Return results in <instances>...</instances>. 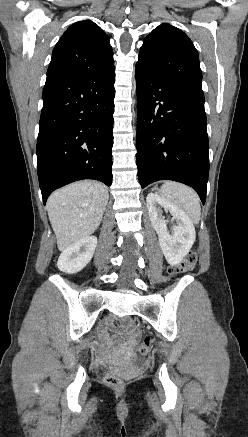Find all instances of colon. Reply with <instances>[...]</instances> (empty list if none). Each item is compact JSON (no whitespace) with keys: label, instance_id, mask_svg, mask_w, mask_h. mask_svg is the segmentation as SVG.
<instances>
[{"label":"colon","instance_id":"1","mask_svg":"<svg viewBox=\"0 0 248 437\" xmlns=\"http://www.w3.org/2000/svg\"><path fill=\"white\" fill-rule=\"evenodd\" d=\"M197 262V253L196 251L192 250L188 252L185 257L182 259V261L176 265H172L168 268V273L172 276L188 272L194 269ZM151 348V338L147 337L143 340V342L138 346V353L140 355H146L150 351ZM105 382L107 385L114 389H121L124 385V380L113 374V373H107L104 377Z\"/></svg>","mask_w":248,"mask_h":437}]
</instances>
